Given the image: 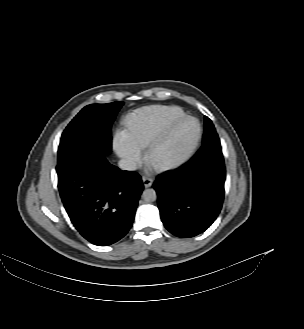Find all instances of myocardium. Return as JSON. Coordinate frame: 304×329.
I'll list each match as a JSON object with an SVG mask.
<instances>
[{
	"label": "myocardium",
	"instance_id": "myocardium-1",
	"mask_svg": "<svg viewBox=\"0 0 304 329\" xmlns=\"http://www.w3.org/2000/svg\"><path fill=\"white\" fill-rule=\"evenodd\" d=\"M185 120H193L197 124V134H196L195 140L193 141L192 145L182 156H180L179 158H177L175 160L168 161V162H162V163L156 162L153 158L154 153L157 151V149L160 146H162L165 142H167L170 139V137L172 136L176 127ZM202 133H203V131H202L201 123L196 117L185 114V115L175 119L168 125L166 130L161 135L156 137L147 147L146 161H147L148 165L158 172H168V171H172V170H175V169L183 166L196 153V151L200 145L201 139H202Z\"/></svg>",
	"mask_w": 304,
	"mask_h": 329
}]
</instances>
